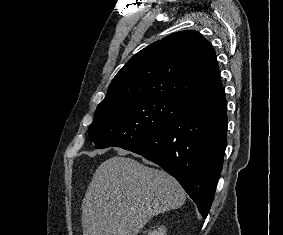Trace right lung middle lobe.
I'll list each match as a JSON object with an SVG mask.
<instances>
[{
  "mask_svg": "<svg viewBox=\"0 0 283 235\" xmlns=\"http://www.w3.org/2000/svg\"><path fill=\"white\" fill-rule=\"evenodd\" d=\"M181 106L182 102L167 97H133L98 105L89 138L97 149L124 148L161 131Z\"/></svg>",
  "mask_w": 283,
  "mask_h": 235,
  "instance_id": "1",
  "label": "right lung middle lobe"
}]
</instances>
